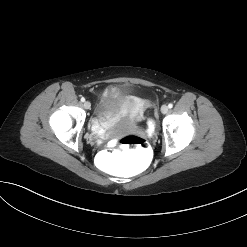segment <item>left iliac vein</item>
I'll list each match as a JSON object with an SVG mask.
<instances>
[{
    "mask_svg": "<svg viewBox=\"0 0 247 247\" xmlns=\"http://www.w3.org/2000/svg\"><path fill=\"white\" fill-rule=\"evenodd\" d=\"M168 110H169V108H168L167 105H163V106L161 107V112H162L163 114H166V113L168 112Z\"/></svg>",
    "mask_w": 247,
    "mask_h": 247,
    "instance_id": "left-iliac-vein-1",
    "label": "left iliac vein"
}]
</instances>
